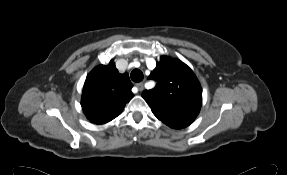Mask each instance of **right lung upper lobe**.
Returning <instances> with one entry per match:
<instances>
[{"label":"right lung upper lobe","mask_w":287,"mask_h":175,"mask_svg":"<svg viewBox=\"0 0 287 175\" xmlns=\"http://www.w3.org/2000/svg\"><path fill=\"white\" fill-rule=\"evenodd\" d=\"M127 73L120 74L114 62L95 67L87 76L82 93V109L95 124L116 118L134 96Z\"/></svg>","instance_id":"1"}]
</instances>
